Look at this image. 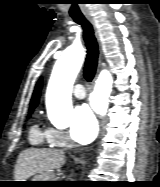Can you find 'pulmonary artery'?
Segmentation results:
<instances>
[{
  "label": "pulmonary artery",
  "mask_w": 160,
  "mask_h": 187,
  "mask_svg": "<svg viewBox=\"0 0 160 187\" xmlns=\"http://www.w3.org/2000/svg\"><path fill=\"white\" fill-rule=\"evenodd\" d=\"M73 94L78 99H83L86 96L84 86L82 84H77L74 86Z\"/></svg>",
  "instance_id": "1"
}]
</instances>
